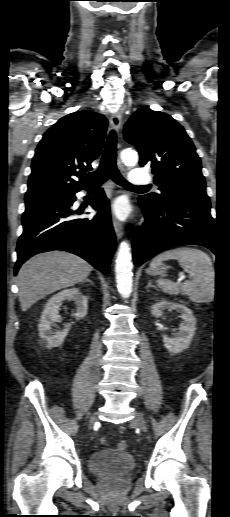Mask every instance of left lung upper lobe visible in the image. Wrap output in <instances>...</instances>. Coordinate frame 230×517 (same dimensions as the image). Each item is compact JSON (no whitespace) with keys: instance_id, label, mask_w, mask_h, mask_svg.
Segmentation results:
<instances>
[{"instance_id":"1","label":"left lung upper lobe","mask_w":230,"mask_h":517,"mask_svg":"<svg viewBox=\"0 0 230 517\" xmlns=\"http://www.w3.org/2000/svg\"><path fill=\"white\" fill-rule=\"evenodd\" d=\"M124 137L138 149L139 164L153 168L154 183L161 191L142 195L140 200L160 207L183 198H208L195 147L170 115L140 108L125 124Z\"/></svg>"}]
</instances>
